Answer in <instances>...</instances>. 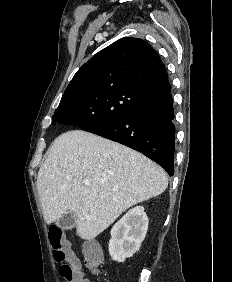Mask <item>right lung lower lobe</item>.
<instances>
[{
  "label": "right lung lower lobe",
  "instance_id": "98d812e1",
  "mask_svg": "<svg viewBox=\"0 0 232 282\" xmlns=\"http://www.w3.org/2000/svg\"><path fill=\"white\" fill-rule=\"evenodd\" d=\"M171 89L144 103L137 112L112 122L82 128L135 149L174 174L175 125Z\"/></svg>",
  "mask_w": 232,
  "mask_h": 282
}]
</instances>
